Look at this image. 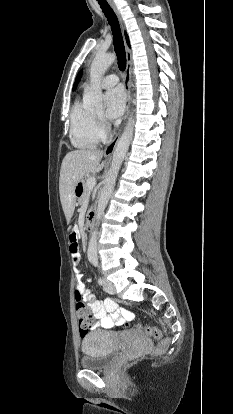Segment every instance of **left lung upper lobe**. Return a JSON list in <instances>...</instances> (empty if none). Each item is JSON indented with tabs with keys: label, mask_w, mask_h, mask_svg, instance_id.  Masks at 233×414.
Listing matches in <instances>:
<instances>
[{
	"label": "left lung upper lobe",
	"mask_w": 233,
	"mask_h": 414,
	"mask_svg": "<svg viewBox=\"0 0 233 414\" xmlns=\"http://www.w3.org/2000/svg\"><path fill=\"white\" fill-rule=\"evenodd\" d=\"M81 76H82V71H80L79 74L76 77V80H75V83H74V86H73V90H75V88L77 87L78 82L80 81Z\"/></svg>",
	"instance_id": "obj_1"
}]
</instances>
